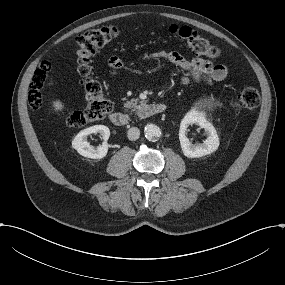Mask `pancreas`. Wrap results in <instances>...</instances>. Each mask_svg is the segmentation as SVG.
Returning <instances> with one entry per match:
<instances>
[{
	"mask_svg": "<svg viewBox=\"0 0 285 285\" xmlns=\"http://www.w3.org/2000/svg\"><path fill=\"white\" fill-rule=\"evenodd\" d=\"M138 103H140V105H146L147 100H139V99H131L130 101H127L126 103H124V107L126 108H130L133 110L138 109Z\"/></svg>",
	"mask_w": 285,
	"mask_h": 285,
	"instance_id": "pancreas-1",
	"label": "pancreas"
}]
</instances>
